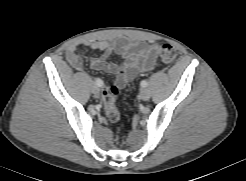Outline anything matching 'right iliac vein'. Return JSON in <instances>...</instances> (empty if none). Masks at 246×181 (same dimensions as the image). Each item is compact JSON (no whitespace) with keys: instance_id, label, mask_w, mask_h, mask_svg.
I'll use <instances>...</instances> for the list:
<instances>
[{"instance_id":"1","label":"right iliac vein","mask_w":246,"mask_h":181,"mask_svg":"<svg viewBox=\"0 0 246 181\" xmlns=\"http://www.w3.org/2000/svg\"><path fill=\"white\" fill-rule=\"evenodd\" d=\"M99 88L97 87V86H94L93 88H92V92H93V94L97 97V96H99Z\"/></svg>"}]
</instances>
